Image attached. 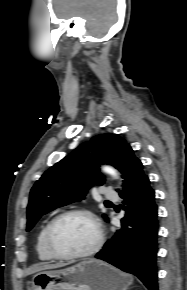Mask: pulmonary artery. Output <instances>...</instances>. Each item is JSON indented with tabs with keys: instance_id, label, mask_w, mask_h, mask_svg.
I'll return each mask as SVG.
<instances>
[{
	"instance_id": "pulmonary-artery-1",
	"label": "pulmonary artery",
	"mask_w": 187,
	"mask_h": 290,
	"mask_svg": "<svg viewBox=\"0 0 187 290\" xmlns=\"http://www.w3.org/2000/svg\"><path fill=\"white\" fill-rule=\"evenodd\" d=\"M102 194H103V197L107 200H117L118 199V194L110 188H105L103 190Z\"/></svg>"
}]
</instances>
